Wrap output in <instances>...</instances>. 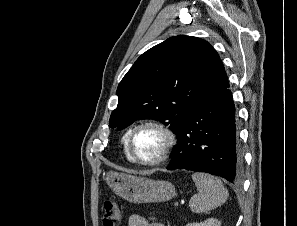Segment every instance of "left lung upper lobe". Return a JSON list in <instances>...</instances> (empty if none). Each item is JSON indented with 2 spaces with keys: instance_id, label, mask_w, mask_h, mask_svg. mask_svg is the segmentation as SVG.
Masks as SVG:
<instances>
[{
  "instance_id": "obj_1",
  "label": "left lung upper lobe",
  "mask_w": 297,
  "mask_h": 226,
  "mask_svg": "<svg viewBox=\"0 0 297 226\" xmlns=\"http://www.w3.org/2000/svg\"><path fill=\"white\" fill-rule=\"evenodd\" d=\"M227 86L220 57L207 41L169 38L142 54L120 82L110 127L121 130L138 119H153L177 135L208 91Z\"/></svg>"
}]
</instances>
